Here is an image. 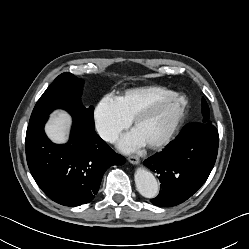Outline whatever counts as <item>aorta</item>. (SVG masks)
<instances>
[{"label":"aorta","mask_w":249,"mask_h":249,"mask_svg":"<svg viewBox=\"0 0 249 249\" xmlns=\"http://www.w3.org/2000/svg\"><path fill=\"white\" fill-rule=\"evenodd\" d=\"M134 178L136 189L143 197L154 198L158 195L159 186L156 178L150 171L138 168Z\"/></svg>","instance_id":"aorta-1"}]
</instances>
